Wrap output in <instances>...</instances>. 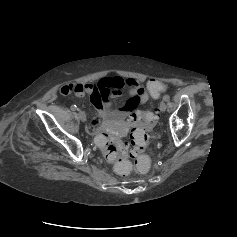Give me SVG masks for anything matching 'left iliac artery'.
<instances>
[{
    "label": "left iliac artery",
    "instance_id": "44dca946",
    "mask_svg": "<svg viewBox=\"0 0 237 237\" xmlns=\"http://www.w3.org/2000/svg\"><path fill=\"white\" fill-rule=\"evenodd\" d=\"M163 100L166 101V102L169 101V100H170V96H169V95H165V96L163 97Z\"/></svg>",
    "mask_w": 237,
    "mask_h": 237
}]
</instances>
